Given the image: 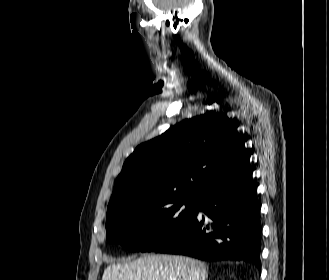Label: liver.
Masks as SVG:
<instances>
[{
    "label": "liver",
    "mask_w": 329,
    "mask_h": 280,
    "mask_svg": "<svg viewBox=\"0 0 329 280\" xmlns=\"http://www.w3.org/2000/svg\"><path fill=\"white\" fill-rule=\"evenodd\" d=\"M208 268L198 260L175 255H145L109 265L102 280H205Z\"/></svg>",
    "instance_id": "6515ba94"
}]
</instances>
